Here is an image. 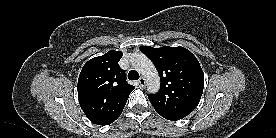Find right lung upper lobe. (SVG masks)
<instances>
[{
	"label": "right lung upper lobe",
	"instance_id": "obj_1",
	"mask_svg": "<svg viewBox=\"0 0 276 138\" xmlns=\"http://www.w3.org/2000/svg\"><path fill=\"white\" fill-rule=\"evenodd\" d=\"M121 51L90 59L78 78V100L87 118L98 125L113 123L122 113L134 86L126 81L118 62Z\"/></svg>",
	"mask_w": 276,
	"mask_h": 138
}]
</instances>
